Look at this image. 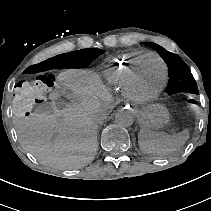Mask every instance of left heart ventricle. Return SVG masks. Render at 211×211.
<instances>
[{"mask_svg": "<svg viewBox=\"0 0 211 211\" xmlns=\"http://www.w3.org/2000/svg\"><path fill=\"white\" fill-rule=\"evenodd\" d=\"M162 68L154 59H148L144 62L138 79V85L142 92L152 93L161 84Z\"/></svg>", "mask_w": 211, "mask_h": 211, "instance_id": "left-heart-ventricle-1", "label": "left heart ventricle"}]
</instances>
